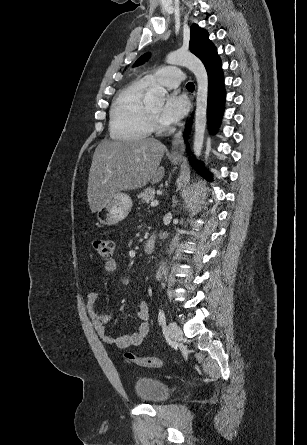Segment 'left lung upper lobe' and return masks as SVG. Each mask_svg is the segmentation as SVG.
<instances>
[{"instance_id":"left-lung-upper-lobe-1","label":"left lung upper lobe","mask_w":307,"mask_h":445,"mask_svg":"<svg viewBox=\"0 0 307 445\" xmlns=\"http://www.w3.org/2000/svg\"><path fill=\"white\" fill-rule=\"evenodd\" d=\"M190 50L195 54L205 65V67L214 59L219 58L217 55L216 48L212 42L208 39V33L204 29L198 27V25L193 24L191 26V36H190ZM150 54L146 53L142 55L134 64L138 66L143 64L148 60Z\"/></svg>"}]
</instances>
